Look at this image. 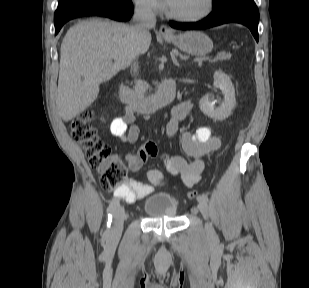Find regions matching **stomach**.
<instances>
[{
	"mask_svg": "<svg viewBox=\"0 0 309 288\" xmlns=\"http://www.w3.org/2000/svg\"><path fill=\"white\" fill-rule=\"evenodd\" d=\"M163 38L173 43L181 51L192 55H205L211 52V39L200 31H190L179 35H164Z\"/></svg>",
	"mask_w": 309,
	"mask_h": 288,
	"instance_id": "1",
	"label": "stomach"
}]
</instances>
